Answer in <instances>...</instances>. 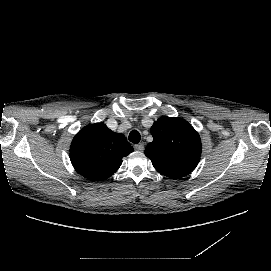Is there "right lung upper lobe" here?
Instances as JSON below:
<instances>
[{"label": "right lung upper lobe", "instance_id": "obj_1", "mask_svg": "<svg viewBox=\"0 0 271 271\" xmlns=\"http://www.w3.org/2000/svg\"><path fill=\"white\" fill-rule=\"evenodd\" d=\"M133 152L123 134L111 131L103 123L83 128L73 139L70 159L75 170L91 180H104L113 175L122 158Z\"/></svg>", "mask_w": 271, "mask_h": 271}]
</instances>
